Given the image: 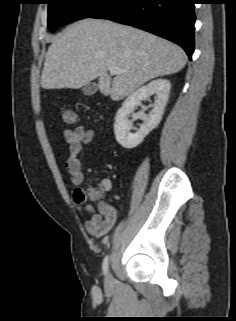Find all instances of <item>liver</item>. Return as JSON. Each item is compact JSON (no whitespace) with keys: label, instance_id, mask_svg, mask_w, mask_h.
I'll return each instance as SVG.
<instances>
[{"label":"liver","instance_id":"6515ba94","mask_svg":"<svg viewBox=\"0 0 236 321\" xmlns=\"http://www.w3.org/2000/svg\"><path fill=\"white\" fill-rule=\"evenodd\" d=\"M180 47L146 31L103 19H83L52 40L41 76L44 89H79L98 78V88L118 101L155 77L179 72ZM110 67L123 70L113 79Z\"/></svg>","mask_w":236,"mask_h":321}]
</instances>
